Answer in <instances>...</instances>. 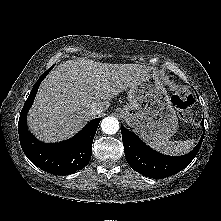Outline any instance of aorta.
<instances>
[{
  "instance_id": "obj_1",
  "label": "aorta",
  "mask_w": 221,
  "mask_h": 221,
  "mask_svg": "<svg viewBox=\"0 0 221 221\" xmlns=\"http://www.w3.org/2000/svg\"><path fill=\"white\" fill-rule=\"evenodd\" d=\"M101 129L105 134H115L119 130V121L115 117H105L101 122Z\"/></svg>"
}]
</instances>
